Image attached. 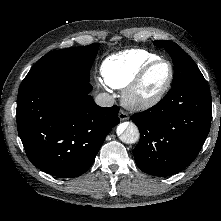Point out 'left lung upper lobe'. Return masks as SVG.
I'll use <instances>...</instances> for the list:
<instances>
[{
    "label": "left lung upper lobe",
    "instance_id": "5c2ea615",
    "mask_svg": "<svg viewBox=\"0 0 221 221\" xmlns=\"http://www.w3.org/2000/svg\"><path fill=\"white\" fill-rule=\"evenodd\" d=\"M154 45L164 48L172 57L174 77L172 87L186 82H204L205 79L191 57L173 41H154Z\"/></svg>",
    "mask_w": 221,
    "mask_h": 221
}]
</instances>
